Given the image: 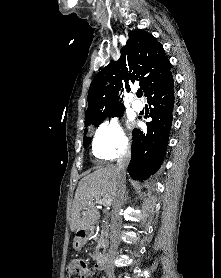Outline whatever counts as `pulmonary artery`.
I'll list each match as a JSON object with an SVG mask.
<instances>
[{"mask_svg":"<svg viewBox=\"0 0 221 278\" xmlns=\"http://www.w3.org/2000/svg\"><path fill=\"white\" fill-rule=\"evenodd\" d=\"M132 107L136 111H141L143 109V103L139 100H133L131 103Z\"/></svg>","mask_w":221,"mask_h":278,"instance_id":"obj_1","label":"pulmonary artery"}]
</instances>
